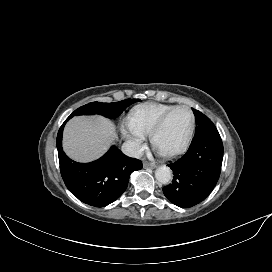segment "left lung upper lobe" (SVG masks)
<instances>
[{
    "label": "left lung upper lobe",
    "mask_w": 272,
    "mask_h": 272,
    "mask_svg": "<svg viewBox=\"0 0 272 272\" xmlns=\"http://www.w3.org/2000/svg\"><path fill=\"white\" fill-rule=\"evenodd\" d=\"M196 119V129L193 139L200 138L213 130H217L213 122L200 111L192 109Z\"/></svg>",
    "instance_id": "obj_1"
}]
</instances>
